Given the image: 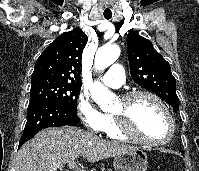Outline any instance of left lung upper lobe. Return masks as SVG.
Listing matches in <instances>:
<instances>
[{
    "mask_svg": "<svg viewBox=\"0 0 199 171\" xmlns=\"http://www.w3.org/2000/svg\"><path fill=\"white\" fill-rule=\"evenodd\" d=\"M127 53L132 79L164 99L173 107L179 108L176 94V80L169 63L153 47L152 43L136 32L127 35Z\"/></svg>",
    "mask_w": 199,
    "mask_h": 171,
    "instance_id": "left-lung-upper-lobe-1",
    "label": "left lung upper lobe"
}]
</instances>
